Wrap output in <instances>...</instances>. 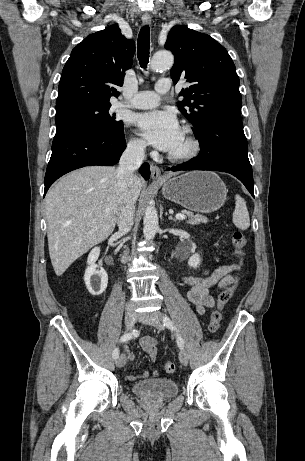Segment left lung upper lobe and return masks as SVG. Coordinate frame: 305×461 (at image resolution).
<instances>
[{
  "instance_id": "obj_1",
  "label": "left lung upper lobe",
  "mask_w": 305,
  "mask_h": 461,
  "mask_svg": "<svg viewBox=\"0 0 305 461\" xmlns=\"http://www.w3.org/2000/svg\"><path fill=\"white\" fill-rule=\"evenodd\" d=\"M165 48L175 56L173 82L186 80L191 84L180 92L184 100L178 102V108L194 126V133L210 119L241 113L235 65L216 40L185 26H175L168 34Z\"/></svg>"
}]
</instances>
